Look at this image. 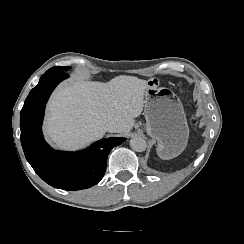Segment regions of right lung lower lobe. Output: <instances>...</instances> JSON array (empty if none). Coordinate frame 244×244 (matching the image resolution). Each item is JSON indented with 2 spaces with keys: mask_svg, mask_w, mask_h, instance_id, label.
I'll list each match as a JSON object with an SVG mask.
<instances>
[{
  "mask_svg": "<svg viewBox=\"0 0 244 244\" xmlns=\"http://www.w3.org/2000/svg\"><path fill=\"white\" fill-rule=\"evenodd\" d=\"M65 71H46L25 100L20 115L21 144L26 159L49 185L63 190H80L97 184L103 177L110 150L126 138L111 137L94 143L80 152L52 150L42 135L46 102Z\"/></svg>",
  "mask_w": 244,
  "mask_h": 244,
  "instance_id": "obj_1",
  "label": "right lung lower lobe"
}]
</instances>
